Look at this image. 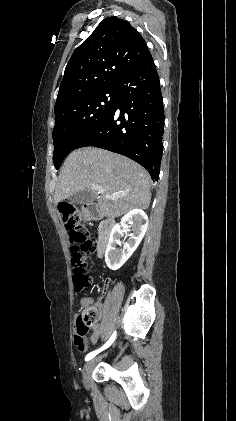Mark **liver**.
Here are the masks:
<instances>
[{
	"instance_id": "1",
	"label": "liver",
	"mask_w": 236,
	"mask_h": 421,
	"mask_svg": "<svg viewBox=\"0 0 236 421\" xmlns=\"http://www.w3.org/2000/svg\"><path fill=\"white\" fill-rule=\"evenodd\" d=\"M92 184H101L104 190L91 188ZM151 184L149 172L131 158L103 148L83 146L68 154L56 180L54 202L90 188L102 217L116 219L132 208L145 211L151 200ZM108 194L125 196L110 200L106 198Z\"/></svg>"
}]
</instances>
